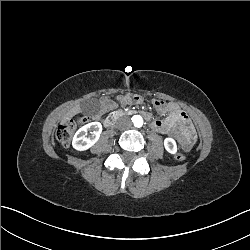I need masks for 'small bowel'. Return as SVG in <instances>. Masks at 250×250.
Returning a JSON list of instances; mask_svg holds the SVG:
<instances>
[{"mask_svg":"<svg viewBox=\"0 0 250 250\" xmlns=\"http://www.w3.org/2000/svg\"><path fill=\"white\" fill-rule=\"evenodd\" d=\"M135 94H126L118 97V102L122 105H134L140 102L135 101ZM154 106L158 112H169L171 117L169 123H164L161 120H154L151 123V128L159 133L173 135L181 140L182 147L188 149L195 140L196 133L186 113L180 110L179 106L175 103H165L161 100H154ZM100 112L113 110L117 107V102L110 97H102L99 100ZM145 117L149 118L150 115L146 112L143 113Z\"/></svg>","mask_w":250,"mask_h":250,"instance_id":"small-bowel-1","label":"small bowel"}]
</instances>
